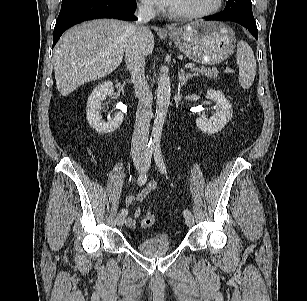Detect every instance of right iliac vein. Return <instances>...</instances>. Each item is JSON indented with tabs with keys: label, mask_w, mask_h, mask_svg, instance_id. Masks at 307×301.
I'll list each match as a JSON object with an SVG mask.
<instances>
[{
	"label": "right iliac vein",
	"mask_w": 307,
	"mask_h": 301,
	"mask_svg": "<svg viewBox=\"0 0 307 301\" xmlns=\"http://www.w3.org/2000/svg\"><path fill=\"white\" fill-rule=\"evenodd\" d=\"M134 164H135V167H136V169H137L138 171H142V169L144 168L143 157H142V156H137V157H135V159H134ZM124 221H125V216L119 213V214L116 216L117 225H118L119 227H122Z\"/></svg>",
	"instance_id": "63e3f726"
}]
</instances>
